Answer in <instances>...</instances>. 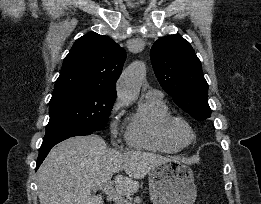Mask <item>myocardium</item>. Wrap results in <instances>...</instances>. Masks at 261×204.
<instances>
[{
    "label": "myocardium",
    "mask_w": 261,
    "mask_h": 204,
    "mask_svg": "<svg viewBox=\"0 0 261 204\" xmlns=\"http://www.w3.org/2000/svg\"><path fill=\"white\" fill-rule=\"evenodd\" d=\"M178 127H184L190 134V140L188 142H181L176 134ZM163 130L166 137L178 148H185L191 145L195 139L196 134L191 124L181 116H170L163 124Z\"/></svg>",
    "instance_id": "f54148a6"
}]
</instances>
